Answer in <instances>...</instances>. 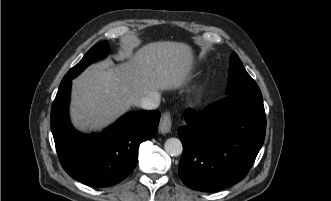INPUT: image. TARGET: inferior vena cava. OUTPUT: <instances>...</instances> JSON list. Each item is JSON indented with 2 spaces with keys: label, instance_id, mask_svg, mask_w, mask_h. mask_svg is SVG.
Listing matches in <instances>:
<instances>
[{
  "label": "inferior vena cava",
  "instance_id": "1",
  "mask_svg": "<svg viewBox=\"0 0 331 201\" xmlns=\"http://www.w3.org/2000/svg\"><path fill=\"white\" fill-rule=\"evenodd\" d=\"M159 103H160L159 93L152 92L148 96L140 100L139 106L147 110H153L159 106Z\"/></svg>",
  "mask_w": 331,
  "mask_h": 201
}]
</instances>
